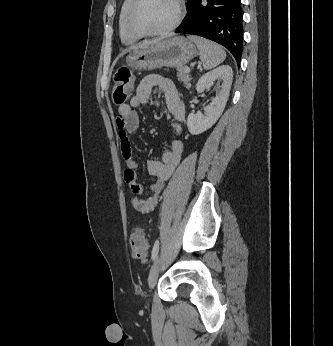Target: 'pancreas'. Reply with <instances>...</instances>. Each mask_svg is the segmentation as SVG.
Returning a JSON list of instances; mask_svg holds the SVG:
<instances>
[{
  "label": "pancreas",
  "instance_id": "1",
  "mask_svg": "<svg viewBox=\"0 0 333 346\" xmlns=\"http://www.w3.org/2000/svg\"><path fill=\"white\" fill-rule=\"evenodd\" d=\"M185 67H180L177 69L178 71V79L180 82L183 83L184 86H186V88H190L191 87V76L189 75V73H185Z\"/></svg>",
  "mask_w": 333,
  "mask_h": 346
}]
</instances>
